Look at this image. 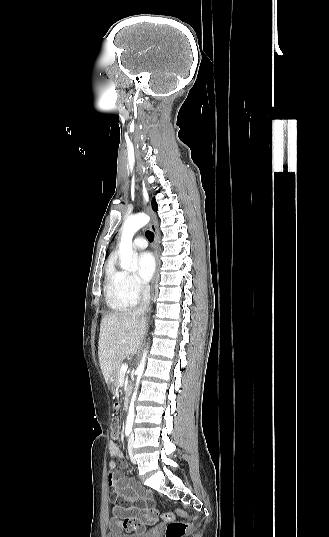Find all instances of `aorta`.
<instances>
[{"label":"aorta","instance_id":"1","mask_svg":"<svg viewBox=\"0 0 329 537\" xmlns=\"http://www.w3.org/2000/svg\"><path fill=\"white\" fill-rule=\"evenodd\" d=\"M150 218L144 214L139 213L136 215H133L125 221L122 229V235L121 240L119 244V255H120V266L125 271H133L136 268V261L133 258V250H132V239L134 234L144 227L146 224H148ZM146 357H147V351H144L143 356L141 358L140 364L138 365V368L136 370L137 378H136V385L135 390L133 392L129 411L127 415L126 425L129 427L133 426L134 422V416H135V400L137 397V390L138 386L140 384L141 377L144 372L145 364H146Z\"/></svg>","mask_w":329,"mask_h":537}]
</instances>
